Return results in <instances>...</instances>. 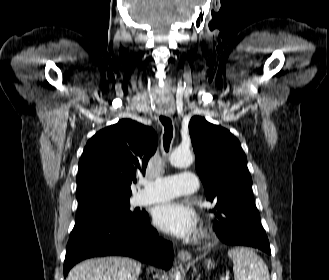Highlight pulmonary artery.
<instances>
[{
	"mask_svg": "<svg viewBox=\"0 0 329 280\" xmlns=\"http://www.w3.org/2000/svg\"><path fill=\"white\" fill-rule=\"evenodd\" d=\"M197 187L198 179L193 172L159 177L145 184L144 189L137 195V203L147 205L182 195H190L195 193Z\"/></svg>",
	"mask_w": 329,
	"mask_h": 280,
	"instance_id": "pulmonary-artery-1",
	"label": "pulmonary artery"
}]
</instances>
